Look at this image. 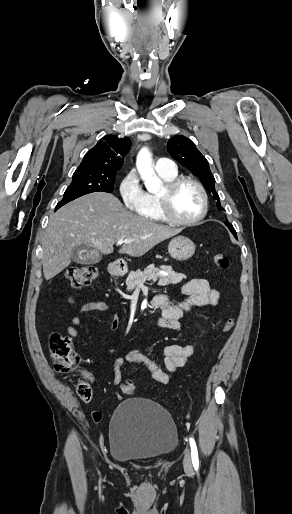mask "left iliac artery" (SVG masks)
Returning a JSON list of instances; mask_svg holds the SVG:
<instances>
[{"label":"left iliac artery","instance_id":"obj_1","mask_svg":"<svg viewBox=\"0 0 292 514\" xmlns=\"http://www.w3.org/2000/svg\"><path fill=\"white\" fill-rule=\"evenodd\" d=\"M189 443H190V447H191V457H192L193 466H194V468H198L199 458H198V450H197L195 440L192 437H190Z\"/></svg>","mask_w":292,"mask_h":514}]
</instances>
